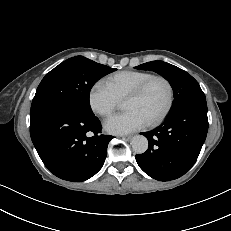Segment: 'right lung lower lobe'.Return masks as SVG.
Masks as SVG:
<instances>
[{
  "label": "right lung lower lobe",
  "instance_id": "1",
  "mask_svg": "<svg viewBox=\"0 0 231 231\" xmlns=\"http://www.w3.org/2000/svg\"><path fill=\"white\" fill-rule=\"evenodd\" d=\"M101 129L94 114L65 106L31 123L30 135L50 172L67 181L81 182L95 175L105 161L113 136L102 135Z\"/></svg>",
  "mask_w": 231,
  "mask_h": 231
}]
</instances>
